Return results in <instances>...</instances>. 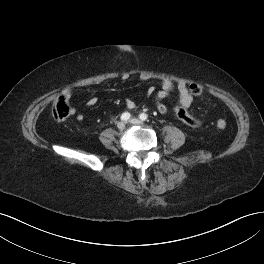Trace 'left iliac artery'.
<instances>
[{
  "label": "left iliac artery",
  "instance_id": "1",
  "mask_svg": "<svg viewBox=\"0 0 264 264\" xmlns=\"http://www.w3.org/2000/svg\"><path fill=\"white\" fill-rule=\"evenodd\" d=\"M139 118L142 120V121H145L147 119V115L145 113H142L139 115Z\"/></svg>",
  "mask_w": 264,
  "mask_h": 264
}]
</instances>
